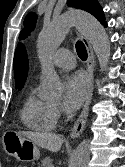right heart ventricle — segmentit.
<instances>
[{"instance_id":"e07e8e85","label":"right heart ventricle","mask_w":125,"mask_h":167,"mask_svg":"<svg viewBox=\"0 0 125 167\" xmlns=\"http://www.w3.org/2000/svg\"><path fill=\"white\" fill-rule=\"evenodd\" d=\"M20 120L25 127L37 132H50L57 122L53 108L39 99L34 91H30L23 102Z\"/></svg>"}]
</instances>
